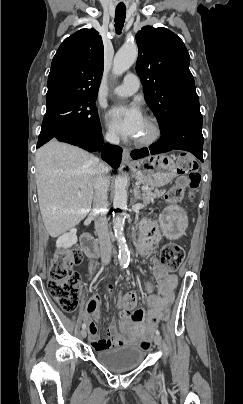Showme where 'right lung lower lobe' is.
Segmentation results:
<instances>
[{
    "mask_svg": "<svg viewBox=\"0 0 243 404\" xmlns=\"http://www.w3.org/2000/svg\"><path fill=\"white\" fill-rule=\"evenodd\" d=\"M101 130L92 131L78 127H67L59 131L51 140H58L79 146L89 152H101L102 158L112 168H118L122 158V149L104 144Z\"/></svg>",
    "mask_w": 243,
    "mask_h": 404,
    "instance_id": "98d812e1",
    "label": "right lung lower lobe"
}]
</instances>
